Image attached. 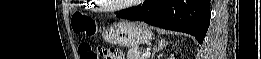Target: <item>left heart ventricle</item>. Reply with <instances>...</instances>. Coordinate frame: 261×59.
<instances>
[{"mask_svg":"<svg viewBox=\"0 0 261 59\" xmlns=\"http://www.w3.org/2000/svg\"><path fill=\"white\" fill-rule=\"evenodd\" d=\"M107 5H119L122 3H125L127 1H123V0H110V1H104Z\"/></svg>","mask_w":261,"mask_h":59,"instance_id":"left-heart-ventricle-1","label":"left heart ventricle"}]
</instances>
